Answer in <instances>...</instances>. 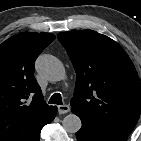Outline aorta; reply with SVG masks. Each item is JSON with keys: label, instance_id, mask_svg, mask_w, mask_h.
<instances>
[{"label": "aorta", "instance_id": "aorta-1", "mask_svg": "<svg viewBox=\"0 0 141 141\" xmlns=\"http://www.w3.org/2000/svg\"><path fill=\"white\" fill-rule=\"evenodd\" d=\"M36 70L51 82L61 81L66 77L62 62L49 54H42L38 57L36 60ZM62 125L68 133H76L81 129L82 122L77 115L71 113L64 117Z\"/></svg>", "mask_w": 141, "mask_h": 141}]
</instances>
